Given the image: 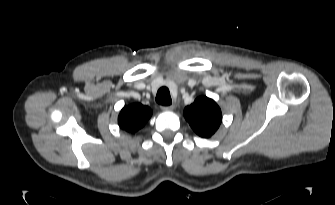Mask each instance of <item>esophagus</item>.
<instances>
[{
  "instance_id": "34e87169",
  "label": "esophagus",
  "mask_w": 335,
  "mask_h": 205,
  "mask_svg": "<svg viewBox=\"0 0 335 205\" xmlns=\"http://www.w3.org/2000/svg\"><path fill=\"white\" fill-rule=\"evenodd\" d=\"M175 108L174 105H168V106H161V109L163 111H172Z\"/></svg>"
}]
</instances>
